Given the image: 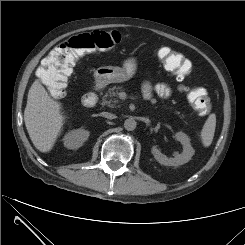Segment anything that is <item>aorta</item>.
Segmentation results:
<instances>
[{
  "instance_id": "aorta-1",
  "label": "aorta",
  "mask_w": 245,
  "mask_h": 245,
  "mask_svg": "<svg viewBox=\"0 0 245 245\" xmlns=\"http://www.w3.org/2000/svg\"><path fill=\"white\" fill-rule=\"evenodd\" d=\"M136 125H137V122L133 118H128L124 122V128L127 131H133V130H135Z\"/></svg>"
}]
</instances>
